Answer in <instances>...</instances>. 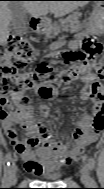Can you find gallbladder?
I'll return each instance as SVG.
<instances>
[{"label":"gallbladder","mask_w":104,"mask_h":189,"mask_svg":"<svg viewBox=\"0 0 104 189\" xmlns=\"http://www.w3.org/2000/svg\"><path fill=\"white\" fill-rule=\"evenodd\" d=\"M9 9L12 13L11 30L17 35L27 32V12L21 2H10Z\"/></svg>","instance_id":"1"}]
</instances>
